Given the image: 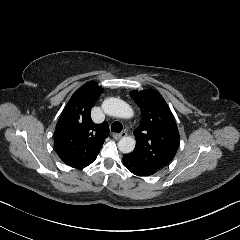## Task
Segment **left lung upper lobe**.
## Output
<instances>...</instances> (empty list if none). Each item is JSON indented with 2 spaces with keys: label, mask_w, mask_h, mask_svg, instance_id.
Instances as JSON below:
<instances>
[{
  "label": "left lung upper lobe",
  "mask_w": 240,
  "mask_h": 240,
  "mask_svg": "<svg viewBox=\"0 0 240 240\" xmlns=\"http://www.w3.org/2000/svg\"><path fill=\"white\" fill-rule=\"evenodd\" d=\"M131 96L140 107L142 122L134 130V151L123 157L134 166L157 171L176 155L179 146L177 124L165 100L157 91H133Z\"/></svg>",
  "instance_id": "left-lung-upper-lobe-1"
}]
</instances>
